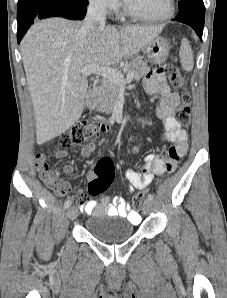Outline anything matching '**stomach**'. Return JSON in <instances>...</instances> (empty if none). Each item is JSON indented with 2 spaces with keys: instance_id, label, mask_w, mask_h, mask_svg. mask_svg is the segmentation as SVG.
Listing matches in <instances>:
<instances>
[{
  "instance_id": "1",
  "label": "stomach",
  "mask_w": 227,
  "mask_h": 298,
  "mask_svg": "<svg viewBox=\"0 0 227 298\" xmlns=\"http://www.w3.org/2000/svg\"><path fill=\"white\" fill-rule=\"evenodd\" d=\"M149 60L154 63H164L170 51L169 42L163 37H156L143 47Z\"/></svg>"
}]
</instances>
